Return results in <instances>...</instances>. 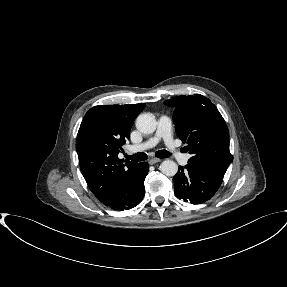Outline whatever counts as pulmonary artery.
<instances>
[{
    "label": "pulmonary artery",
    "mask_w": 287,
    "mask_h": 287,
    "mask_svg": "<svg viewBox=\"0 0 287 287\" xmlns=\"http://www.w3.org/2000/svg\"><path fill=\"white\" fill-rule=\"evenodd\" d=\"M163 141L168 149L169 154L180 164L186 165L188 163L189 154L182 153L175 145L171 133V120L168 116H161L158 120L157 131L145 142L132 145L128 147L129 152H139L155 147L160 141Z\"/></svg>",
    "instance_id": "1"
}]
</instances>
